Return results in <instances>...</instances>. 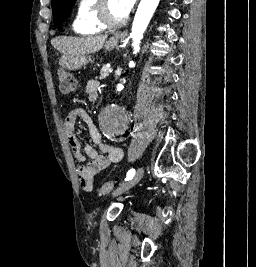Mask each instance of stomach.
<instances>
[{
    "mask_svg": "<svg viewBox=\"0 0 256 267\" xmlns=\"http://www.w3.org/2000/svg\"><path fill=\"white\" fill-rule=\"evenodd\" d=\"M122 32H115L113 38L107 40L104 48L105 50H114L116 46H119L120 40H122ZM88 62H92L91 56H76L71 62H59V67H70V70H78L81 66H86Z\"/></svg>",
    "mask_w": 256,
    "mask_h": 267,
    "instance_id": "0dacf381",
    "label": "stomach"
}]
</instances>
